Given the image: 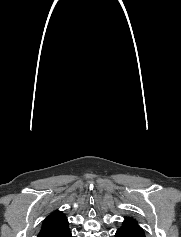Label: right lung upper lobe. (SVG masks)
Returning <instances> with one entry per match:
<instances>
[{"instance_id": "1", "label": "right lung upper lobe", "mask_w": 181, "mask_h": 237, "mask_svg": "<svg viewBox=\"0 0 181 237\" xmlns=\"http://www.w3.org/2000/svg\"><path fill=\"white\" fill-rule=\"evenodd\" d=\"M69 232L66 216L56 210L45 218L38 237H65Z\"/></svg>"}]
</instances>
